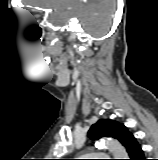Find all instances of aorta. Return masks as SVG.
I'll return each mask as SVG.
<instances>
[{
	"instance_id": "762f6f07",
	"label": "aorta",
	"mask_w": 158,
	"mask_h": 160,
	"mask_svg": "<svg viewBox=\"0 0 158 160\" xmlns=\"http://www.w3.org/2000/svg\"><path fill=\"white\" fill-rule=\"evenodd\" d=\"M100 145L108 148L114 159H128V153L119 141L106 138L100 141Z\"/></svg>"
}]
</instances>
